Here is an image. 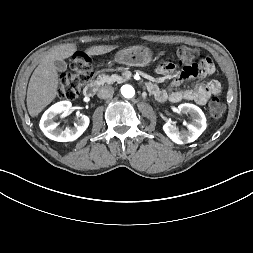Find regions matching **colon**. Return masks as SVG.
<instances>
[{
    "mask_svg": "<svg viewBox=\"0 0 253 253\" xmlns=\"http://www.w3.org/2000/svg\"><path fill=\"white\" fill-rule=\"evenodd\" d=\"M178 64L193 63L198 59V50L193 47L183 46L174 54ZM93 68L90 59L85 54H76L70 61L69 72L59 79L58 98L73 100L78 97L82 87L92 78ZM209 115L213 119H219L225 112V106L219 99H212L208 105Z\"/></svg>",
    "mask_w": 253,
    "mask_h": 253,
    "instance_id": "obj_1",
    "label": "colon"
}]
</instances>
